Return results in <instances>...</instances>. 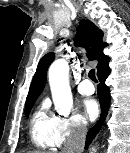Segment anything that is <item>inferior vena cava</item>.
<instances>
[{
	"label": "inferior vena cava",
	"mask_w": 130,
	"mask_h": 153,
	"mask_svg": "<svg viewBox=\"0 0 130 153\" xmlns=\"http://www.w3.org/2000/svg\"><path fill=\"white\" fill-rule=\"evenodd\" d=\"M87 127L85 123H78L64 143L62 153H82Z\"/></svg>",
	"instance_id": "602c4592"
}]
</instances>
